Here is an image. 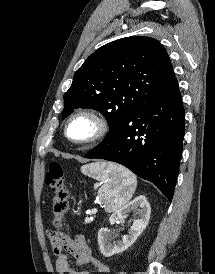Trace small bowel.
Masks as SVG:
<instances>
[{
  "mask_svg": "<svg viewBox=\"0 0 215 274\" xmlns=\"http://www.w3.org/2000/svg\"><path fill=\"white\" fill-rule=\"evenodd\" d=\"M49 233L48 237L55 255V267L59 274H89L88 270L75 268L69 261L68 255L75 260L77 266L90 264L94 266L100 274L110 272L106 264L93 256L83 235L78 234L75 237H71L63 232H52L54 237H50Z\"/></svg>",
  "mask_w": 215,
  "mask_h": 274,
  "instance_id": "small-bowel-1",
  "label": "small bowel"
}]
</instances>
